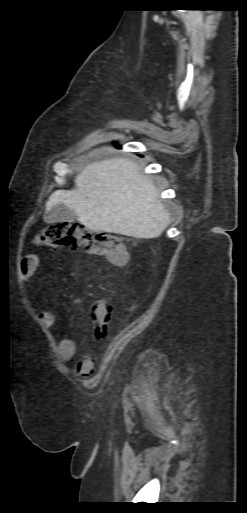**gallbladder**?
<instances>
[{"label": "gallbladder", "instance_id": "1", "mask_svg": "<svg viewBox=\"0 0 247 513\" xmlns=\"http://www.w3.org/2000/svg\"><path fill=\"white\" fill-rule=\"evenodd\" d=\"M77 216L74 211L70 210L64 204H57L46 216L48 223L58 222H74Z\"/></svg>", "mask_w": 247, "mask_h": 513}]
</instances>
